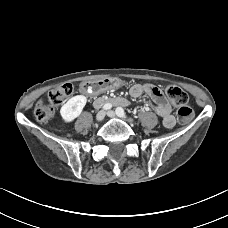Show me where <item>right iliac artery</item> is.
<instances>
[{
  "label": "right iliac artery",
  "mask_w": 228,
  "mask_h": 228,
  "mask_svg": "<svg viewBox=\"0 0 228 228\" xmlns=\"http://www.w3.org/2000/svg\"><path fill=\"white\" fill-rule=\"evenodd\" d=\"M112 105L110 103H106L104 106H103V109L104 110H109L111 109Z\"/></svg>",
  "instance_id": "right-iliac-artery-1"
}]
</instances>
